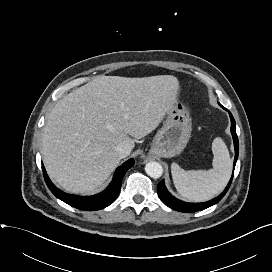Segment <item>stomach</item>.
Here are the masks:
<instances>
[{"instance_id":"stomach-1","label":"stomach","mask_w":272,"mask_h":272,"mask_svg":"<svg viewBox=\"0 0 272 272\" xmlns=\"http://www.w3.org/2000/svg\"><path fill=\"white\" fill-rule=\"evenodd\" d=\"M191 117L186 106L176 100L167 112L163 127L156 133L150 153L170 158L179 155L191 137Z\"/></svg>"}]
</instances>
